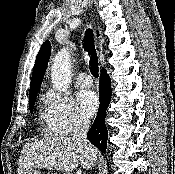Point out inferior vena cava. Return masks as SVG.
<instances>
[{
  "label": "inferior vena cava",
  "instance_id": "602c4592",
  "mask_svg": "<svg viewBox=\"0 0 175 174\" xmlns=\"http://www.w3.org/2000/svg\"><path fill=\"white\" fill-rule=\"evenodd\" d=\"M90 123L87 119L79 118L77 119L74 127L73 140L79 144L85 146L92 156H95V148L88 142L87 132L89 129Z\"/></svg>",
  "mask_w": 175,
  "mask_h": 174
}]
</instances>
